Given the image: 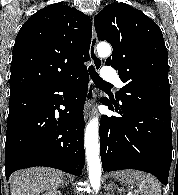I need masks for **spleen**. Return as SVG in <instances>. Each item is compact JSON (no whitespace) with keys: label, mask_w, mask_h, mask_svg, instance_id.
<instances>
[{"label":"spleen","mask_w":178,"mask_h":195,"mask_svg":"<svg viewBox=\"0 0 178 195\" xmlns=\"http://www.w3.org/2000/svg\"><path fill=\"white\" fill-rule=\"evenodd\" d=\"M116 177L131 185H136L142 195H161V184L152 175L136 170H126L116 173Z\"/></svg>","instance_id":"spleen-1"}]
</instances>
